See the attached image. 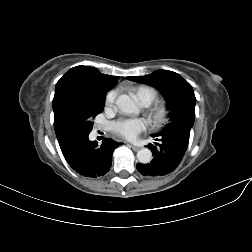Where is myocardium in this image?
I'll list each match as a JSON object with an SVG mask.
<instances>
[{"instance_id":"f54148a6","label":"myocardium","mask_w":252,"mask_h":252,"mask_svg":"<svg viewBox=\"0 0 252 252\" xmlns=\"http://www.w3.org/2000/svg\"><path fill=\"white\" fill-rule=\"evenodd\" d=\"M146 114L151 126H153L154 128H161L167 123L169 119V105L165 100H155L153 103L148 105Z\"/></svg>"}]
</instances>
